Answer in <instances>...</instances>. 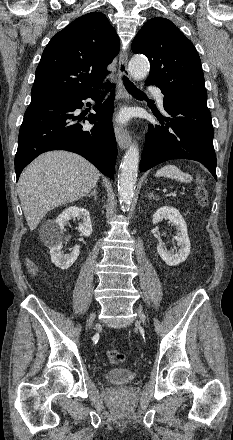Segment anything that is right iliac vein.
Wrapping results in <instances>:
<instances>
[{"mask_svg": "<svg viewBox=\"0 0 233 440\" xmlns=\"http://www.w3.org/2000/svg\"><path fill=\"white\" fill-rule=\"evenodd\" d=\"M95 320V314H91L87 326L90 328Z\"/></svg>", "mask_w": 233, "mask_h": 440, "instance_id": "63e3f726", "label": "right iliac vein"}]
</instances>
